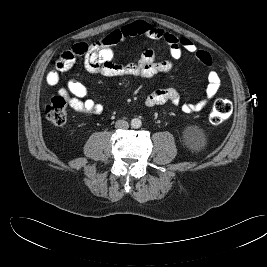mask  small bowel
<instances>
[{"mask_svg": "<svg viewBox=\"0 0 267 267\" xmlns=\"http://www.w3.org/2000/svg\"><path fill=\"white\" fill-rule=\"evenodd\" d=\"M135 36L164 42L169 48L171 58L157 61L155 51L149 48L143 51L140 59L136 62L128 64L113 62L115 46ZM184 53L195 55L206 66L212 64L211 55L207 51L198 49L192 40L177 37L146 21L136 20L93 43L81 42L69 47L60 55L55 67L48 72L46 81L51 86L57 85L61 74L71 69L78 57L83 58L84 67L90 73L106 77L133 76L150 80L159 74L169 73L174 66V61L180 59ZM207 80L205 95L194 101L182 103L180 93L174 87H157L147 95L144 103L147 107L171 103L180 106L186 114L199 112L217 95L221 86L220 76L215 70L208 72ZM58 94L67 100L69 106L76 112L86 115H97L103 112L104 108L101 103L86 98L87 87L77 79L68 80L66 87L60 88Z\"/></svg>", "mask_w": 267, "mask_h": 267, "instance_id": "small-bowel-1", "label": "small bowel"}]
</instances>
